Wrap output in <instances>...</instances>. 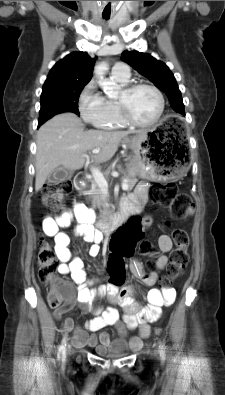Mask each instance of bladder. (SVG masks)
<instances>
[{"mask_svg": "<svg viewBox=\"0 0 225 395\" xmlns=\"http://www.w3.org/2000/svg\"><path fill=\"white\" fill-rule=\"evenodd\" d=\"M129 351L130 348L125 340L115 339L100 352L107 357L118 358L127 355Z\"/></svg>", "mask_w": 225, "mask_h": 395, "instance_id": "31cf9c89", "label": "bladder"}]
</instances>
